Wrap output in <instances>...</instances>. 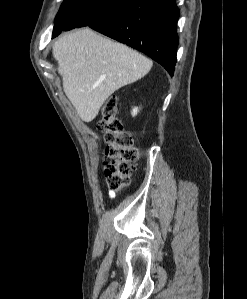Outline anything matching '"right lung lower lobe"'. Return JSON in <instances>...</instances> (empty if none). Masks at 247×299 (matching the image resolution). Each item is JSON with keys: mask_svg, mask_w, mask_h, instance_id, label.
<instances>
[{"mask_svg": "<svg viewBox=\"0 0 247 299\" xmlns=\"http://www.w3.org/2000/svg\"><path fill=\"white\" fill-rule=\"evenodd\" d=\"M178 18L175 0H133L116 15L89 27L143 52L173 75Z\"/></svg>", "mask_w": 247, "mask_h": 299, "instance_id": "right-lung-lower-lobe-1", "label": "right lung lower lobe"}]
</instances>
